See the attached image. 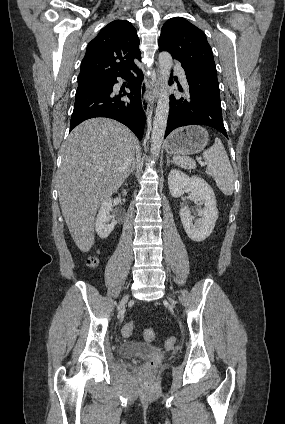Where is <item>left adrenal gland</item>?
<instances>
[{
  "label": "left adrenal gland",
  "instance_id": "left-adrenal-gland-1",
  "mask_svg": "<svg viewBox=\"0 0 285 424\" xmlns=\"http://www.w3.org/2000/svg\"><path fill=\"white\" fill-rule=\"evenodd\" d=\"M170 157L169 156H167V166H169L170 165Z\"/></svg>",
  "mask_w": 285,
  "mask_h": 424
}]
</instances>
